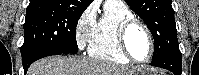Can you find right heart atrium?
I'll return each instance as SVG.
<instances>
[{
	"label": "right heart atrium",
	"instance_id": "right-heart-atrium-1",
	"mask_svg": "<svg viewBox=\"0 0 199 75\" xmlns=\"http://www.w3.org/2000/svg\"><path fill=\"white\" fill-rule=\"evenodd\" d=\"M96 24V12L90 7L82 13L75 28L76 42L80 49H84L89 44Z\"/></svg>",
	"mask_w": 199,
	"mask_h": 75
}]
</instances>
